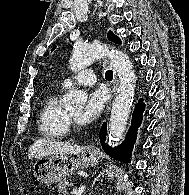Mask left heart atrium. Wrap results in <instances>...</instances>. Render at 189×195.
I'll return each mask as SVG.
<instances>
[{
  "mask_svg": "<svg viewBox=\"0 0 189 195\" xmlns=\"http://www.w3.org/2000/svg\"><path fill=\"white\" fill-rule=\"evenodd\" d=\"M107 99L108 95L104 88L90 92L84 108L77 117L78 122L82 125L93 122L101 114Z\"/></svg>",
  "mask_w": 189,
  "mask_h": 195,
  "instance_id": "left-heart-atrium-1",
  "label": "left heart atrium"
}]
</instances>
